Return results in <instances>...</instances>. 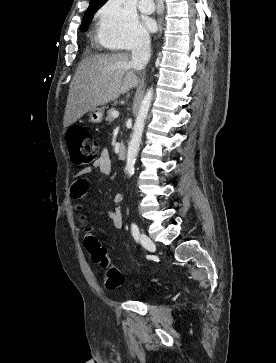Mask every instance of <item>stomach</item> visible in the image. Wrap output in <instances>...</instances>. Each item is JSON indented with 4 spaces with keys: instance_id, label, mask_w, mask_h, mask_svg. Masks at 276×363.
Returning <instances> with one entry per match:
<instances>
[{
    "instance_id": "stomach-1",
    "label": "stomach",
    "mask_w": 276,
    "mask_h": 363,
    "mask_svg": "<svg viewBox=\"0 0 276 363\" xmlns=\"http://www.w3.org/2000/svg\"><path fill=\"white\" fill-rule=\"evenodd\" d=\"M103 119V110L101 108H94L89 111V120L92 123H100Z\"/></svg>"
}]
</instances>
